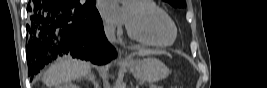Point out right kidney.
<instances>
[{
	"label": "right kidney",
	"instance_id": "1",
	"mask_svg": "<svg viewBox=\"0 0 267 88\" xmlns=\"http://www.w3.org/2000/svg\"><path fill=\"white\" fill-rule=\"evenodd\" d=\"M57 88H78L74 83H64L62 85L57 86Z\"/></svg>",
	"mask_w": 267,
	"mask_h": 88
}]
</instances>
